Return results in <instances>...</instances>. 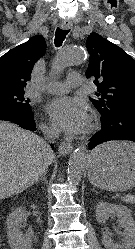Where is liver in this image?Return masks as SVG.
I'll list each match as a JSON object with an SVG mask.
<instances>
[{"label":"liver","mask_w":135,"mask_h":249,"mask_svg":"<svg viewBox=\"0 0 135 249\" xmlns=\"http://www.w3.org/2000/svg\"><path fill=\"white\" fill-rule=\"evenodd\" d=\"M54 156L39 136L0 121V200L30 187L47 170Z\"/></svg>","instance_id":"obj_1"}]
</instances>
